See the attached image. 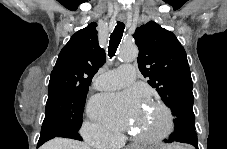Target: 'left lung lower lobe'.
Listing matches in <instances>:
<instances>
[{"label":"left lung lower lobe","instance_id":"left-lung-lower-lobe-1","mask_svg":"<svg viewBox=\"0 0 227 149\" xmlns=\"http://www.w3.org/2000/svg\"><path fill=\"white\" fill-rule=\"evenodd\" d=\"M164 141L167 143L172 142L188 143L196 147V149H198V138L195 130H186L182 132L175 131L170 135L168 139H165Z\"/></svg>","mask_w":227,"mask_h":149}]
</instances>
